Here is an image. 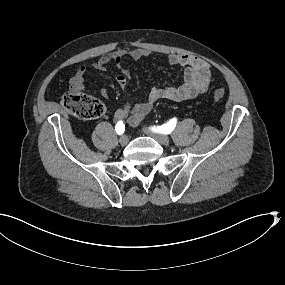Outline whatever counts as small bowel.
Returning <instances> with one entry per match:
<instances>
[{"label":"small bowel","instance_id":"obj_1","mask_svg":"<svg viewBox=\"0 0 285 285\" xmlns=\"http://www.w3.org/2000/svg\"><path fill=\"white\" fill-rule=\"evenodd\" d=\"M149 55L150 52L142 48H119L111 53L102 55L93 64V68L97 71H104L110 63H114L120 70L117 82L124 89L127 85L129 72L123 67V59L139 60ZM168 62L171 65L185 68L183 83L177 87H153L145 101L134 105L129 101H125L114 112L115 120L121 121L129 117V124L132 127H137L159 100L179 102L195 98L206 92L213 81V74L209 63L201 58L193 55L172 53L168 55ZM86 72V68L81 66L70 79V90L72 92H81L84 90ZM100 94L103 98L109 97V92L106 88H102Z\"/></svg>","mask_w":285,"mask_h":285}]
</instances>
